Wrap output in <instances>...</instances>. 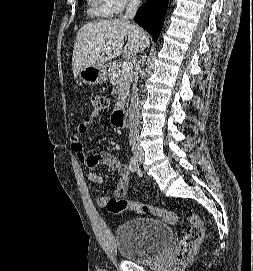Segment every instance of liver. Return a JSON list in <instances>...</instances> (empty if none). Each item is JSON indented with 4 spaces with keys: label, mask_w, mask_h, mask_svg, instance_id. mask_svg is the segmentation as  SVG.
<instances>
[{
    "label": "liver",
    "mask_w": 253,
    "mask_h": 271,
    "mask_svg": "<svg viewBox=\"0 0 253 271\" xmlns=\"http://www.w3.org/2000/svg\"><path fill=\"white\" fill-rule=\"evenodd\" d=\"M148 45L146 33L128 20L106 19L86 24L77 32L72 56L73 75L77 78L85 67L102 64L122 52L125 59H130Z\"/></svg>",
    "instance_id": "obj_1"
}]
</instances>
